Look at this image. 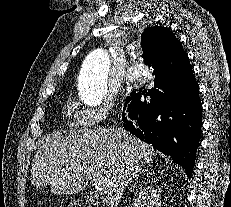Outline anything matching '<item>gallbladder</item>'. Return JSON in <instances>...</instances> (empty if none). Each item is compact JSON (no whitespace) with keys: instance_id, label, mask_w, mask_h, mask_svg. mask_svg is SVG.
Returning <instances> with one entry per match:
<instances>
[{"instance_id":"gallbladder-1","label":"gallbladder","mask_w":231,"mask_h":207,"mask_svg":"<svg viewBox=\"0 0 231 207\" xmlns=\"http://www.w3.org/2000/svg\"><path fill=\"white\" fill-rule=\"evenodd\" d=\"M86 202H88L91 205H97L98 204V198H96L93 194H86L84 196Z\"/></svg>"}]
</instances>
